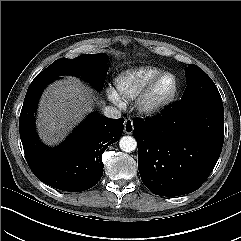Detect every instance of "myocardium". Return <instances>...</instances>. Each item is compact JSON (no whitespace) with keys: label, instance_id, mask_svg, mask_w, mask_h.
<instances>
[{"label":"myocardium","instance_id":"myocardium-1","mask_svg":"<svg viewBox=\"0 0 241 241\" xmlns=\"http://www.w3.org/2000/svg\"><path fill=\"white\" fill-rule=\"evenodd\" d=\"M171 78L173 81V87L170 93L162 98L155 97V90L158 84L164 78ZM178 93V81L174 74L169 72H162L156 76L139 94L136 107L137 110L147 116H156L163 113L175 100Z\"/></svg>","mask_w":241,"mask_h":241}]
</instances>
